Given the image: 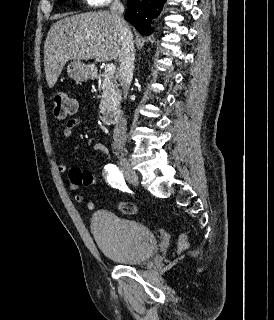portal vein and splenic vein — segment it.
Segmentation results:
<instances>
[{
  "label": "portal vein and splenic vein",
  "instance_id": "obj_1",
  "mask_svg": "<svg viewBox=\"0 0 274 320\" xmlns=\"http://www.w3.org/2000/svg\"><path fill=\"white\" fill-rule=\"evenodd\" d=\"M116 68L114 66V64H107V66H105V74H108V76H112V74H114Z\"/></svg>",
  "mask_w": 274,
  "mask_h": 320
}]
</instances>
